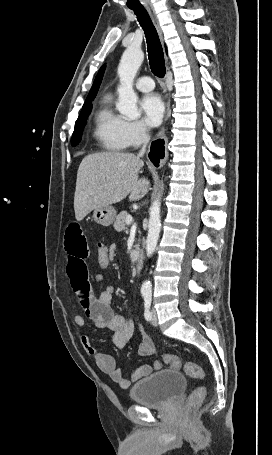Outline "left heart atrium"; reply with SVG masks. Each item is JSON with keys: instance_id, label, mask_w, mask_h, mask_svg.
<instances>
[{"instance_id": "39dd6f15", "label": "left heart atrium", "mask_w": 272, "mask_h": 455, "mask_svg": "<svg viewBox=\"0 0 272 455\" xmlns=\"http://www.w3.org/2000/svg\"><path fill=\"white\" fill-rule=\"evenodd\" d=\"M145 122L152 127L158 126L164 116V104L157 94L145 95L140 101Z\"/></svg>"}]
</instances>
